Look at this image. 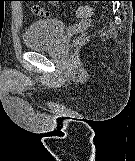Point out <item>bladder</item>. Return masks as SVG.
Here are the masks:
<instances>
[{
  "instance_id": "31cf9c89",
  "label": "bladder",
  "mask_w": 135,
  "mask_h": 161,
  "mask_svg": "<svg viewBox=\"0 0 135 161\" xmlns=\"http://www.w3.org/2000/svg\"><path fill=\"white\" fill-rule=\"evenodd\" d=\"M64 32L65 24L60 20H37L32 22L24 32V45L29 50L51 48L59 42Z\"/></svg>"
}]
</instances>
